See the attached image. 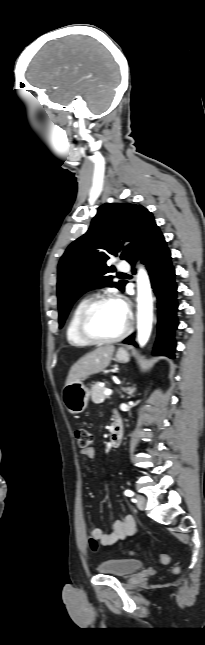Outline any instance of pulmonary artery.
<instances>
[{"label": "pulmonary artery", "instance_id": "pulmonary-artery-1", "mask_svg": "<svg viewBox=\"0 0 205 645\" xmlns=\"http://www.w3.org/2000/svg\"><path fill=\"white\" fill-rule=\"evenodd\" d=\"M117 268H118L119 271L125 272V271H128L130 267H129V264L127 262L121 261V262L118 263Z\"/></svg>", "mask_w": 205, "mask_h": 645}]
</instances>
